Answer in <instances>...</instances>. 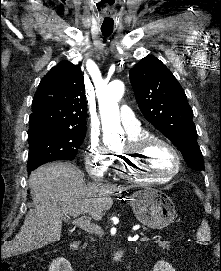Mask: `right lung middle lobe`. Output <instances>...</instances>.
Here are the masks:
<instances>
[{"label":"right lung middle lobe","instance_id":"dd1d6c3e","mask_svg":"<svg viewBox=\"0 0 221 271\" xmlns=\"http://www.w3.org/2000/svg\"><path fill=\"white\" fill-rule=\"evenodd\" d=\"M86 135V131L53 128L28 130L29 157L27 171L55 160H73Z\"/></svg>","mask_w":221,"mask_h":271}]
</instances>
